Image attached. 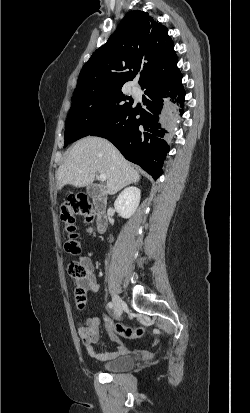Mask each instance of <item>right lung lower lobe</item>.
<instances>
[{
    "mask_svg": "<svg viewBox=\"0 0 250 413\" xmlns=\"http://www.w3.org/2000/svg\"><path fill=\"white\" fill-rule=\"evenodd\" d=\"M179 70L145 81L143 104H132L110 122L91 133L112 142L123 156L141 166L155 180L170 150L165 139L171 132L169 102L184 107L185 91ZM183 110H180L182 116Z\"/></svg>",
    "mask_w": 250,
    "mask_h": 413,
    "instance_id": "1",
    "label": "right lung lower lobe"
}]
</instances>
